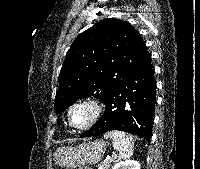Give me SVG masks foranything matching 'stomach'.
I'll return each mask as SVG.
<instances>
[{"label":"stomach","mask_w":200,"mask_h":169,"mask_svg":"<svg viewBox=\"0 0 200 169\" xmlns=\"http://www.w3.org/2000/svg\"><path fill=\"white\" fill-rule=\"evenodd\" d=\"M105 149L106 143L103 140L89 141L75 147H62L54 153V161L66 169L92 165L102 159Z\"/></svg>","instance_id":"stomach-1"}]
</instances>
